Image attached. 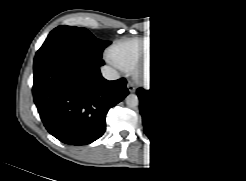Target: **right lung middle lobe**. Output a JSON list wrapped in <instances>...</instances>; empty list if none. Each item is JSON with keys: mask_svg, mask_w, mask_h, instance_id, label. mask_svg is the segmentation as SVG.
I'll use <instances>...</instances> for the list:
<instances>
[{"mask_svg": "<svg viewBox=\"0 0 246 181\" xmlns=\"http://www.w3.org/2000/svg\"><path fill=\"white\" fill-rule=\"evenodd\" d=\"M95 38L87 29L75 26H58L50 32L37 51L34 63L41 61L48 54L59 50L77 51L96 64L102 66L103 50L110 44Z\"/></svg>", "mask_w": 246, "mask_h": 181, "instance_id": "obj_1", "label": "right lung middle lobe"}]
</instances>
